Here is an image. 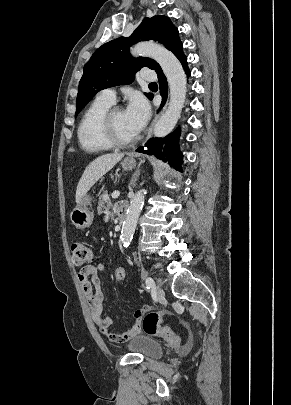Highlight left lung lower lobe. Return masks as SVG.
I'll return each mask as SVG.
<instances>
[{"label": "left lung lower lobe", "mask_w": 291, "mask_h": 405, "mask_svg": "<svg viewBox=\"0 0 291 405\" xmlns=\"http://www.w3.org/2000/svg\"><path fill=\"white\" fill-rule=\"evenodd\" d=\"M174 55L180 60L187 77L190 76L191 72L187 66V57L183 53V44L179 41L171 50ZM156 73L158 74L160 94L162 96L161 107L164 105L167 99V80L163 74L161 67L157 68ZM151 96L149 99H152ZM179 136L180 129H176L170 135L164 138H152L150 139L144 147L138 148L136 151L148 155H155L158 159L168 161L170 165L176 167L181 171V164L183 156L179 150Z\"/></svg>", "instance_id": "left-lung-lower-lobe-1"}]
</instances>
